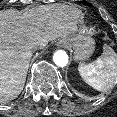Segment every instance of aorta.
Masks as SVG:
<instances>
[{
	"label": "aorta",
	"instance_id": "1",
	"mask_svg": "<svg viewBox=\"0 0 117 117\" xmlns=\"http://www.w3.org/2000/svg\"><path fill=\"white\" fill-rule=\"evenodd\" d=\"M54 63L59 67H64L68 63V55L63 50H58L53 55Z\"/></svg>",
	"mask_w": 117,
	"mask_h": 117
}]
</instances>
